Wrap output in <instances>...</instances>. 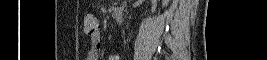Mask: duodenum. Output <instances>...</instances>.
<instances>
[{
    "label": "duodenum",
    "mask_w": 267,
    "mask_h": 60,
    "mask_svg": "<svg viewBox=\"0 0 267 60\" xmlns=\"http://www.w3.org/2000/svg\"><path fill=\"white\" fill-rule=\"evenodd\" d=\"M113 13H114V16L117 20H119V21L122 20L123 14H124V11L122 8H120V7L115 8Z\"/></svg>",
    "instance_id": "1"
}]
</instances>
